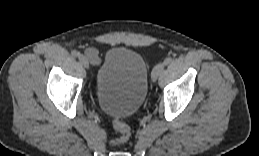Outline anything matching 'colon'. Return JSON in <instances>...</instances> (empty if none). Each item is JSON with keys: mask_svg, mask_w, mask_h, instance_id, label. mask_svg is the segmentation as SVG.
<instances>
[{"mask_svg": "<svg viewBox=\"0 0 259 156\" xmlns=\"http://www.w3.org/2000/svg\"><path fill=\"white\" fill-rule=\"evenodd\" d=\"M112 126L118 133V137L113 141L114 144H121L128 141L131 136V129L124 121L119 118H114L112 120Z\"/></svg>", "mask_w": 259, "mask_h": 156, "instance_id": "5ec220e1", "label": "colon"}]
</instances>
